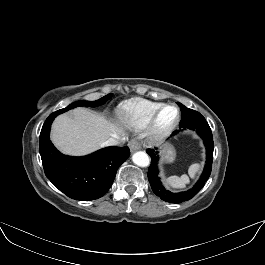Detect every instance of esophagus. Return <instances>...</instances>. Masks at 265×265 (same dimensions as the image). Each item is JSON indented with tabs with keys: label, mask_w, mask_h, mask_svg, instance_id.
<instances>
[{
	"label": "esophagus",
	"mask_w": 265,
	"mask_h": 265,
	"mask_svg": "<svg viewBox=\"0 0 265 265\" xmlns=\"http://www.w3.org/2000/svg\"><path fill=\"white\" fill-rule=\"evenodd\" d=\"M128 145L132 152L138 151L142 147L141 143L135 139L131 140Z\"/></svg>",
	"instance_id": "obj_1"
}]
</instances>
